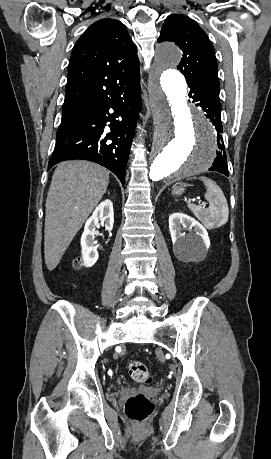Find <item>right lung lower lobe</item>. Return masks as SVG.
Returning a JSON list of instances; mask_svg holds the SVG:
<instances>
[{"label": "right lung lower lobe", "mask_w": 271, "mask_h": 459, "mask_svg": "<svg viewBox=\"0 0 271 459\" xmlns=\"http://www.w3.org/2000/svg\"><path fill=\"white\" fill-rule=\"evenodd\" d=\"M140 109L138 77L95 98L88 106L63 114L48 170L65 160H89L112 171L124 184L126 164ZM110 110H114V113L110 114ZM106 126L110 129L105 128Z\"/></svg>", "instance_id": "right-lung-lower-lobe-1"}]
</instances>
